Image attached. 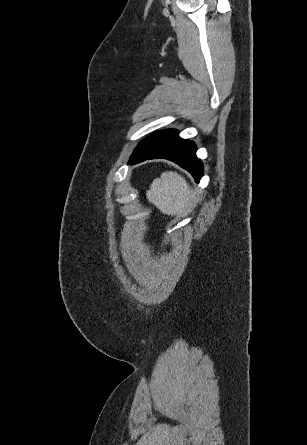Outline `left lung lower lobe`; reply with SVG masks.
I'll return each mask as SVG.
<instances>
[{"label": "left lung lower lobe", "mask_w": 307, "mask_h": 445, "mask_svg": "<svg viewBox=\"0 0 307 445\" xmlns=\"http://www.w3.org/2000/svg\"><path fill=\"white\" fill-rule=\"evenodd\" d=\"M195 153L196 146L192 141L181 139L176 130L168 129L145 141L130 157L129 164L134 165L147 159H168L188 170L199 182L203 165Z\"/></svg>", "instance_id": "obj_1"}]
</instances>
